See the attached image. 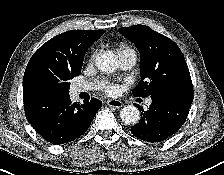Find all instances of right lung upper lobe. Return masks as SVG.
Listing matches in <instances>:
<instances>
[{"label": "right lung upper lobe", "instance_id": "cb5924a9", "mask_svg": "<svg viewBox=\"0 0 224 175\" xmlns=\"http://www.w3.org/2000/svg\"><path fill=\"white\" fill-rule=\"evenodd\" d=\"M104 30H71L44 43L30 58L23 77V97L41 93L48 77H61L81 72L88 47Z\"/></svg>", "mask_w": 224, "mask_h": 175}]
</instances>
